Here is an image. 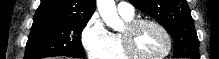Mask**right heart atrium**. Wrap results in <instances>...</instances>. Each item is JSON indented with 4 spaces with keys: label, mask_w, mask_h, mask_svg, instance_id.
<instances>
[{
    "label": "right heart atrium",
    "mask_w": 219,
    "mask_h": 59,
    "mask_svg": "<svg viewBox=\"0 0 219 59\" xmlns=\"http://www.w3.org/2000/svg\"><path fill=\"white\" fill-rule=\"evenodd\" d=\"M111 32L101 18L94 14L81 33V42L90 59H104L111 43Z\"/></svg>",
    "instance_id": "right-heart-atrium-1"
}]
</instances>
